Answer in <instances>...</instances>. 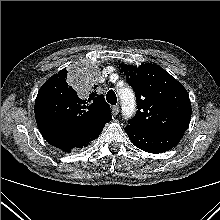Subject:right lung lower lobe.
<instances>
[{"label":"right lung lower lobe","instance_id":"98d812e1","mask_svg":"<svg viewBox=\"0 0 220 220\" xmlns=\"http://www.w3.org/2000/svg\"><path fill=\"white\" fill-rule=\"evenodd\" d=\"M106 123V121L99 122L82 134L50 145L55 146L64 152H70L74 148L86 147L90 141L95 140L100 135Z\"/></svg>","mask_w":220,"mask_h":220}]
</instances>
